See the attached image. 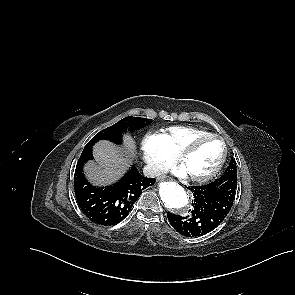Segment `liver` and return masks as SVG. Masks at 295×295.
Returning a JSON list of instances; mask_svg holds the SVG:
<instances>
[{
  "mask_svg": "<svg viewBox=\"0 0 295 295\" xmlns=\"http://www.w3.org/2000/svg\"><path fill=\"white\" fill-rule=\"evenodd\" d=\"M124 146L128 153L134 154L136 145L129 135L124 136ZM126 154L109 141H99L93 147V155L98 165L94 162L85 165L87 178L95 185L114 182L129 166L130 159Z\"/></svg>",
  "mask_w": 295,
  "mask_h": 295,
  "instance_id": "obj_1",
  "label": "liver"
}]
</instances>
